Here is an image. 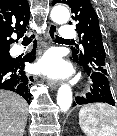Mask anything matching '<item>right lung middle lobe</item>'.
Listing matches in <instances>:
<instances>
[{
  "label": "right lung middle lobe",
  "instance_id": "right-lung-middle-lobe-1",
  "mask_svg": "<svg viewBox=\"0 0 117 136\" xmlns=\"http://www.w3.org/2000/svg\"><path fill=\"white\" fill-rule=\"evenodd\" d=\"M12 59L13 58H11L8 51L7 52H0V60L10 61Z\"/></svg>",
  "mask_w": 117,
  "mask_h": 136
}]
</instances>
